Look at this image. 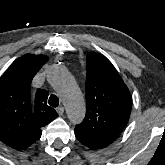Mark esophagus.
<instances>
[{"instance_id": "34e87169", "label": "esophagus", "mask_w": 165, "mask_h": 165, "mask_svg": "<svg viewBox=\"0 0 165 165\" xmlns=\"http://www.w3.org/2000/svg\"><path fill=\"white\" fill-rule=\"evenodd\" d=\"M57 113L61 116L64 113V108L63 107H58L57 108Z\"/></svg>"}]
</instances>
